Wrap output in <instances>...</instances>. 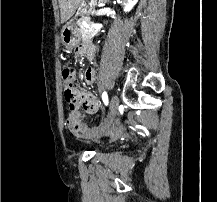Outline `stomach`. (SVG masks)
I'll return each mask as SVG.
<instances>
[{
    "label": "stomach",
    "mask_w": 217,
    "mask_h": 202,
    "mask_svg": "<svg viewBox=\"0 0 217 202\" xmlns=\"http://www.w3.org/2000/svg\"><path fill=\"white\" fill-rule=\"evenodd\" d=\"M96 4L97 0H80V4L78 6V16L88 18V16H91V14L95 12ZM61 40L66 52H71V50L80 46L82 40L81 34L72 20L63 26Z\"/></svg>",
    "instance_id": "0dacf381"
}]
</instances>
